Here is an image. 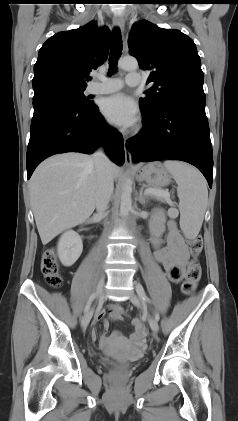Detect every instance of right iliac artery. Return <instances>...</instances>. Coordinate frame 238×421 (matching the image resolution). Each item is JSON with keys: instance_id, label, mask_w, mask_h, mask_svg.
<instances>
[{"instance_id": "1", "label": "right iliac artery", "mask_w": 238, "mask_h": 421, "mask_svg": "<svg viewBox=\"0 0 238 421\" xmlns=\"http://www.w3.org/2000/svg\"><path fill=\"white\" fill-rule=\"evenodd\" d=\"M96 296H97V293H93L90 296V298H89V300H88V302H87V304H86V306L84 308V313H87L88 312V310L90 309V306H91L93 300L96 298Z\"/></svg>"}]
</instances>
